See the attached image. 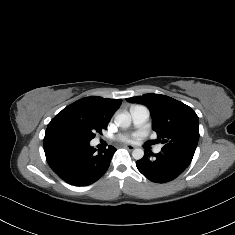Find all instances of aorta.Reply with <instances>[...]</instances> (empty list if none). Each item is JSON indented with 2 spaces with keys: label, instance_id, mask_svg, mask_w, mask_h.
<instances>
[{
  "label": "aorta",
  "instance_id": "762f6f07",
  "mask_svg": "<svg viewBox=\"0 0 235 235\" xmlns=\"http://www.w3.org/2000/svg\"><path fill=\"white\" fill-rule=\"evenodd\" d=\"M131 120V115L129 113H121L115 117L114 122L121 128H128L131 125ZM132 156L134 159L140 160L144 156V151L140 148L134 149L132 151Z\"/></svg>",
  "mask_w": 235,
  "mask_h": 235
}]
</instances>
